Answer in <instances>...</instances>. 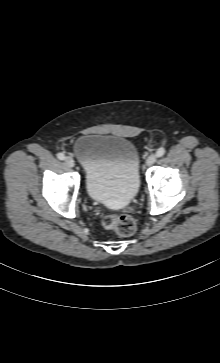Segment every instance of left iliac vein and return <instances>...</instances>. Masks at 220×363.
Here are the masks:
<instances>
[{
    "label": "left iliac vein",
    "instance_id": "4c4485c4",
    "mask_svg": "<svg viewBox=\"0 0 220 363\" xmlns=\"http://www.w3.org/2000/svg\"><path fill=\"white\" fill-rule=\"evenodd\" d=\"M156 159H157L156 155H154V154L150 155V156L146 159V165H147V166H151V165H153V164L156 162Z\"/></svg>",
    "mask_w": 220,
    "mask_h": 363
}]
</instances>
